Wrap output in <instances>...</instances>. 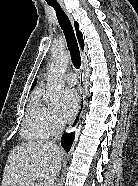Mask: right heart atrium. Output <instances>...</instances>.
<instances>
[{
	"label": "right heart atrium",
	"mask_w": 138,
	"mask_h": 186,
	"mask_svg": "<svg viewBox=\"0 0 138 186\" xmlns=\"http://www.w3.org/2000/svg\"><path fill=\"white\" fill-rule=\"evenodd\" d=\"M46 125L50 134L56 133L62 127L55 110L49 109L46 115Z\"/></svg>",
	"instance_id": "obj_1"
}]
</instances>
